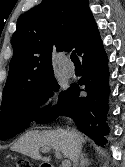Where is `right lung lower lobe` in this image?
<instances>
[{
	"label": "right lung lower lobe",
	"mask_w": 125,
	"mask_h": 167,
	"mask_svg": "<svg viewBox=\"0 0 125 167\" xmlns=\"http://www.w3.org/2000/svg\"><path fill=\"white\" fill-rule=\"evenodd\" d=\"M84 74L78 84L65 92L57 105L49 108L36 123H50L59 116L71 117L78 129L97 144H105L108 133L106 123L109 96L107 56L99 33L82 49ZM79 86H84L86 96L80 95Z\"/></svg>",
	"instance_id": "right-lung-lower-lobe-1"
}]
</instances>
